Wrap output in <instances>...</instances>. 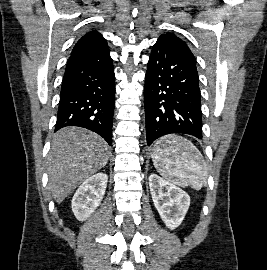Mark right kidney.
Instances as JSON below:
<instances>
[{"label":"right kidney","mask_w":267,"mask_h":270,"mask_svg":"<svg viewBox=\"0 0 267 270\" xmlns=\"http://www.w3.org/2000/svg\"><path fill=\"white\" fill-rule=\"evenodd\" d=\"M107 181V174L97 173L80 185L72 198V211L77 220H86L100 205Z\"/></svg>","instance_id":"right-kidney-1"}]
</instances>
